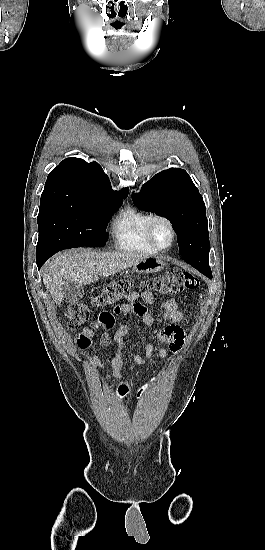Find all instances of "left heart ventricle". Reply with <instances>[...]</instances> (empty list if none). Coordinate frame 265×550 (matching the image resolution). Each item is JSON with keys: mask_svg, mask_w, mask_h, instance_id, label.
<instances>
[{"mask_svg": "<svg viewBox=\"0 0 265 550\" xmlns=\"http://www.w3.org/2000/svg\"><path fill=\"white\" fill-rule=\"evenodd\" d=\"M153 234L156 242L162 246H168L171 240V233L168 226L163 222H157L153 228Z\"/></svg>", "mask_w": 265, "mask_h": 550, "instance_id": "b2bd125f", "label": "left heart ventricle"}]
</instances>
